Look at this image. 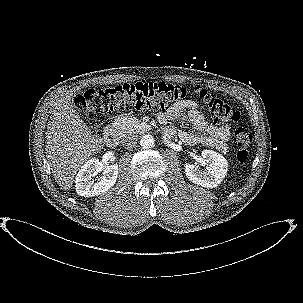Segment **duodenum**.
Segmentation results:
<instances>
[{"label": "duodenum", "instance_id": "410a0bca", "mask_svg": "<svg viewBox=\"0 0 303 303\" xmlns=\"http://www.w3.org/2000/svg\"><path fill=\"white\" fill-rule=\"evenodd\" d=\"M119 137L113 130L107 131L105 136V142L109 147H115L118 143Z\"/></svg>", "mask_w": 303, "mask_h": 303}]
</instances>
